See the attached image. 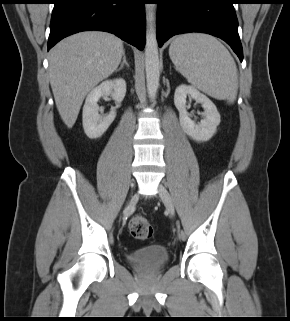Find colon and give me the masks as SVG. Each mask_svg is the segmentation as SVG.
<instances>
[{
  "label": "colon",
  "instance_id": "obj_1",
  "mask_svg": "<svg viewBox=\"0 0 290 321\" xmlns=\"http://www.w3.org/2000/svg\"><path fill=\"white\" fill-rule=\"evenodd\" d=\"M129 232L134 238L145 240L152 236L153 228L147 218L135 215L129 222Z\"/></svg>",
  "mask_w": 290,
  "mask_h": 321
}]
</instances>
